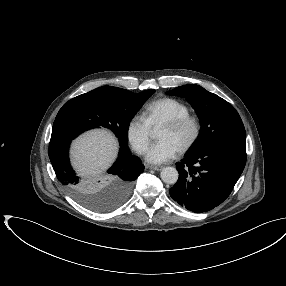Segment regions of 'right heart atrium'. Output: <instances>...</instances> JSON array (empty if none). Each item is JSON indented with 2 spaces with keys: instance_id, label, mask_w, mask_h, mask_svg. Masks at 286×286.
<instances>
[{
  "instance_id": "obj_1",
  "label": "right heart atrium",
  "mask_w": 286,
  "mask_h": 286,
  "mask_svg": "<svg viewBox=\"0 0 286 286\" xmlns=\"http://www.w3.org/2000/svg\"><path fill=\"white\" fill-rule=\"evenodd\" d=\"M152 128L145 116L135 115L128 122L126 129L127 140L132 149L142 155L150 144Z\"/></svg>"
}]
</instances>
